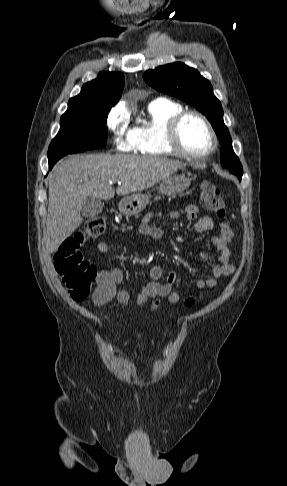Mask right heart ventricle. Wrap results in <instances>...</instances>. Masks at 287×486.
Segmentation results:
<instances>
[{
    "label": "right heart ventricle",
    "instance_id": "obj_1",
    "mask_svg": "<svg viewBox=\"0 0 287 486\" xmlns=\"http://www.w3.org/2000/svg\"><path fill=\"white\" fill-rule=\"evenodd\" d=\"M181 111L182 105L175 101L165 98L152 101L148 105L146 120L130 130L133 151L155 157L176 155L168 146L165 134L171 118Z\"/></svg>",
    "mask_w": 287,
    "mask_h": 486
}]
</instances>
